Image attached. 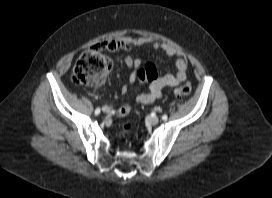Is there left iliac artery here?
<instances>
[{
    "instance_id": "left-iliac-artery-1",
    "label": "left iliac artery",
    "mask_w": 272,
    "mask_h": 198,
    "mask_svg": "<svg viewBox=\"0 0 272 198\" xmlns=\"http://www.w3.org/2000/svg\"><path fill=\"white\" fill-rule=\"evenodd\" d=\"M167 118H168L167 115H163V116H162V119H163L164 121H166Z\"/></svg>"
}]
</instances>
